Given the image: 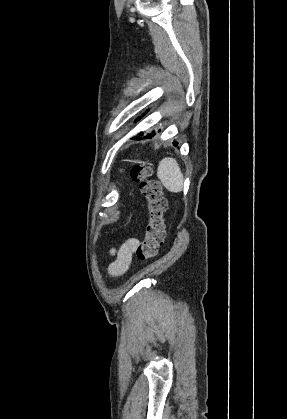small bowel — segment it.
<instances>
[{
	"instance_id": "c3829d8e",
	"label": "small bowel",
	"mask_w": 287,
	"mask_h": 419,
	"mask_svg": "<svg viewBox=\"0 0 287 419\" xmlns=\"http://www.w3.org/2000/svg\"><path fill=\"white\" fill-rule=\"evenodd\" d=\"M138 245V239L129 238L125 240L117 249H113L111 251L115 258L108 267V272L111 276H120L129 269L133 254Z\"/></svg>"
}]
</instances>
